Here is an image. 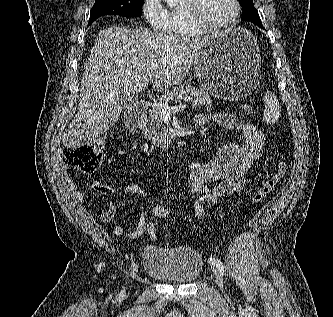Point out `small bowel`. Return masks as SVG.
<instances>
[{
    "instance_id": "1",
    "label": "small bowel",
    "mask_w": 333,
    "mask_h": 317,
    "mask_svg": "<svg viewBox=\"0 0 333 317\" xmlns=\"http://www.w3.org/2000/svg\"><path fill=\"white\" fill-rule=\"evenodd\" d=\"M210 121L228 130L231 138L209 160L195 161L190 166L189 189L196 195L193 202V213L197 220L204 219L206 215L205 204L217 206L223 197L240 193L246 186V174L263 155L265 132L253 123L242 120L228 112L215 114H199L195 117L197 125ZM65 185L72 200L81 203L85 195L69 178ZM93 189L105 196H111L114 189L101 181H92ZM125 194H133L140 198L141 211L135 229L127 234L130 239H136L146 233V212L151 206V200L145 190L135 184L124 189ZM116 214L112 202H106L100 214L104 223L110 222ZM112 234L121 236L123 228L115 225Z\"/></svg>"
}]
</instances>
